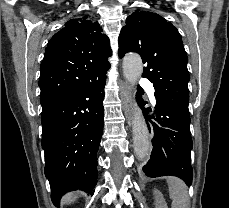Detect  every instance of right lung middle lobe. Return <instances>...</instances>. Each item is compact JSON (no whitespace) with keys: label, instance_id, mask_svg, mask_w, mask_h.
I'll return each instance as SVG.
<instances>
[{"label":"right lung middle lobe","instance_id":"right-lung-middle-lobe-1","mask_svg":"<svg viewBox=\"0 0 229 208\" xmlns=\"http://www.w3.org/2000/svg\"><path fill=\"white\" fill-rule=\"evenodd\" d=\"M48 106H42V110L46 109Z\"/></svg>","mask_w":229,"mask_h":208}]
</instances>
